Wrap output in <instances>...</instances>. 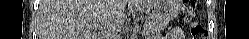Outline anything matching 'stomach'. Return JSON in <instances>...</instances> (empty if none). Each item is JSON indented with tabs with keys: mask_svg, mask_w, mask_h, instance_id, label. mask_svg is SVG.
<instances>
[{
	"mask_svg": "<svg viewBox=\"0 0 249 39\" xmlns=\"http://www.w3.org/2000/svg\"><path fill=\"white\" fill-rule=\"evenodd\" d=\"M180 4L181 0H143V6L139 10L154 18L170 21L179 14Z\"/></svg>",
	"mask_w": 249,
	"mask_h": 39,
	"instance_id": "stomach-1",
	"label": "stomach"
}]
</instances>
